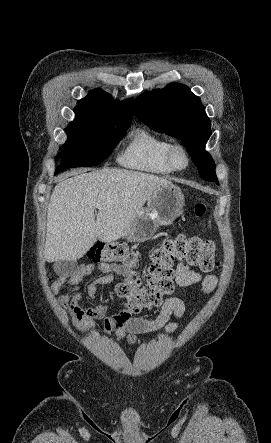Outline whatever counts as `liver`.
<instances>
[{
  "mask_svg": "<svg viewBox=\"0 0 271 443\" xmlns=\"http://www.w3.org/2000/svg\"><path fill=\"white\" fill-rule=\"evenodd\" d=\"M171 184L158 176L116 168L65 174L48 204L45 257L76 261L96 239L106 243L120 239L129 233L130 223L142 214L154 190ZM96 204L100 208L95 218Z\"/></svg>",
  "mask_w": 271,
  "mask_h": 443,
  "instance_id": "1",
  "label": "liver"
}]
</instances>
